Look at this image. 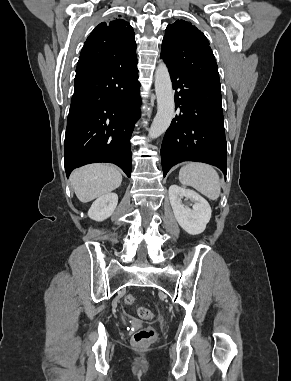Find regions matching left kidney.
<instances>
[{
  "mask_svg": "<svg viewBox=\"0 0 291 381\" xmlns=\"http://www.w3.org/2000/svg\"><path fill=\"white\" fill-rule=\"evenodd\" d=\"M190 200L192 208L184 206L182 199ZM169 199L178 224L188 234L197 235L202 233L211 218L209 203L197 192L171 185L169 187Z\"/></svg>",
  "mask_w": 291,
  "mask_h": 381,
  "instance_id": "left-kidney-1",
  "label": "left kidney"
}]
</instances>
